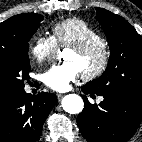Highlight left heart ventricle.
Segmentation results:
<instances>
[{
    "label": "left heart ventricle",
    "mask_w": 142,
    "mask_h": 142,
    "mask_svg": "<svg viewBox=\"0 0 142 142\" xmlns=\"http://www.w3.org/2000/svg\"><path fill=\"white\" fill-rule=\"evenodd\" d=\"M101 59L100 53L96 52L88 56H81L69 49L64 54V60L74 63L80 73L91 71L97 67Z\"/></svg>",
    "instance_id": "1"
}]
</instances>
